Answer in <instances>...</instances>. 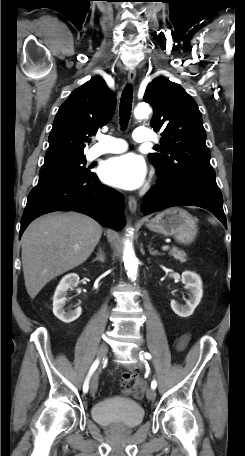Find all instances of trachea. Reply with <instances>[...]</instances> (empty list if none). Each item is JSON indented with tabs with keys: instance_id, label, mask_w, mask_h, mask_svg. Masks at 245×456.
Returning <instances> with one entry per match:
<instances>
[{
	"instance_id": "1",
	"label": "trachea",
	"mask_w": 245,
	"mask_h": 456,
	"mask_svg": "<svg viewBox=\"0 0 245 456\" xmlns=\"http://www.w3.org/2000/svg\"><path fill=\"white\" fill-rule=\"evenodd\" d=\"M132 98H133V89L132 86L128 85L122 92L120 99V124L122 128H126L130 119L131 110H132Z\"/></svg>"
}]
</instances>
